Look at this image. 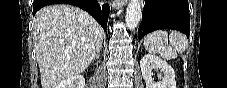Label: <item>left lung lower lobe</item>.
Masks as SVG:
<instances>
[{
    "label": "left lung lower lobe",
    "instance_id": "0a47b994",
    "mask_svg": "<svg viewBox=\"0 0 227 88\" xmlns=\"http://www.w3.org/2000/svg\"><path fill=\"white\" fill-rule=\"evenodd\" d=\"M158 29L178 30L189 37L190 16L188 0H146L142 22L138 29L139 41Z\"/></svg>",
    "mask_w": 227,
    "mask_h": 88
}]
</instances>
